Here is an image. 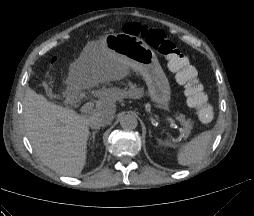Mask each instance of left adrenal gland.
Instances as JSON below:
<instances>
[{
  "mask_svg": "<svg viewBox=\"0 0 254 216\" xmlns=\"http://www.w3.org/2000/svg\"><path fill=\"white\" fill-rule=\"evenodd\" d=\"M149 134H150V136H151V131L149 130Z\"/></svg>",
  "mask_w": 254,
  "mask_h": 216,
  "instance_id": "a2214340",
  "label": "left adrenal gland"
}]
</instances>
